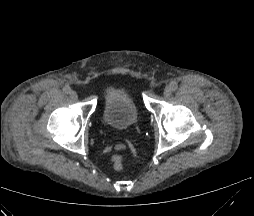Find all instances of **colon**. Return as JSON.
I'll return each mask as SVG.
<instances>
[{
	"label": "colon",
	"instance_id": "5ec220e1",
	"mask_svg": "<svg viewBox=\"0 0 254 216\" xmlns=\"http://www.w3.org/2000/svg\"><path fill=\"white\" fill-rule=\"evenodd\" d=\"M112 164L116 171H119L123 167V157L121 154L116 153L112 156Z\"/></svg>",
	"mask_w": 254,
	"mask_h": 216
}]
</instances>
